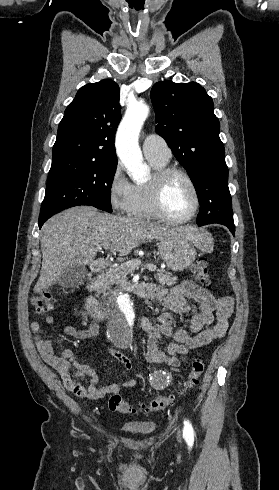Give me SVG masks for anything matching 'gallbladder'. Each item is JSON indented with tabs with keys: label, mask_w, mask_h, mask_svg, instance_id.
<instances>
[{
	"label": "gallbladder",
	"mask_w": 279,
	"mask_h": 490,
	"mask_svg": "<svg viewBox=\"0 0 279 490\" xmlns=\"http://www.w3.org/2000/svg\"><path fill=\"white\" fill-rule=\"evenodd\" d=\"M88 272L85 266H68L57 280L62 288H80L86 280Z\"/></svg>",
	"instance_id": "bac80fb5"
}]
</instances>
